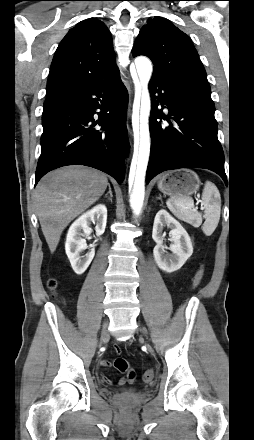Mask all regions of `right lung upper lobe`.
I'll return each instance as SVG.
<instances>
[{
    "label": "right lung upper lobe",
    "mask_w": 254,
    "mask_h": 440,
    "mask_svg": "<svg viewBox=\"0 0 254 440\" xmlns=\"http://www.w3.org/2000/svg\"><path fill=\"white\" fill-rule=\"evenodd\" d=\"M120 79L109 30L98 19L79 22L60 42L49 73L46 94L84 82Z\"/></svg>",
    "instance_id": "1"
}]
</instances>
